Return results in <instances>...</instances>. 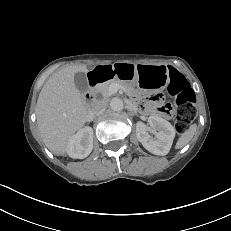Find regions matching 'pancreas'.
Returning <instances> with one entry per match:
<instances>
[{
    "instance_id": "cf45deb5",
    "label": "pancreas",
    "mask_w": 231,
    "mask_h": 231,
    "mask_svg": "<svg viewBox=\"0 0 231 231\" xmlns=\"http://www.w3.org/2000/svg\"><path fill=\"white\" fill-rule=\"evenodd\" d=\"M117 85L119 88L124 89V91L127 93L128 96H132L134 93V89L133 87H131L130 85H128L126 82H123L121 80L115 79L112 80L110 82L104 83L102 85H100L98 87V90L101 92V94L104 97H109L110 95H112V91H111V86L112 85Z\"/></svg>"
}]
</instances>
